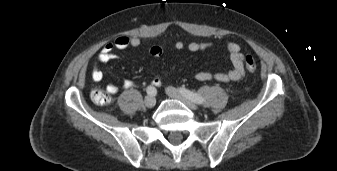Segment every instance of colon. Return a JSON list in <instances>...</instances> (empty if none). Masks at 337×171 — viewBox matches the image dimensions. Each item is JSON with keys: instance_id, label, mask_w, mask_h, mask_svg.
Returning a JSON list of instances; mask_svg holds the SVG:
<instances>
[{"instance_id": "1", "label": "colon", "mask_w": 337, "mask_h": 171, "mask_svg": "<svg viewBox=\"0 0 337 171\" xmlns=\"http://www.w3.org/2000/svg\"><path fill=\"white\" fill-rule=\"evenodd\" d=\"M245 67L248 71L253 72L257 68L256 61L253 56L248 55L245 58ZM91 98L94 103L98 105H106L110 103L111 97L104 91L102 90H96L93 91L91 94Z\"/></svg>"}]
</instances>
